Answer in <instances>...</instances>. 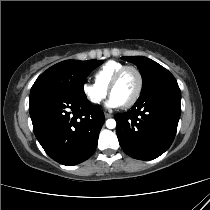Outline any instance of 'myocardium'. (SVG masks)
<instances>
[{
    "label": "myocardium",
    "instance_id": "myocardium-1",
    "mask_svg": "<svg viewBox=\"0 0 210 210\" xmlns=\"http://www.w3.org/2000/svg\"><path fill=\"white\" fill-rule=\"evenodd\" d=\"M128 70H132L137 74V76H138V88H137V91H136L135 95L128 102H126L122 105V107H124V108H129V107L133 106L140 99V97L142 95V92H143V89H144V77H143L142 72L135 66L125 65L116 72V74L114 75V77H113V79L110 82V85L108 87V92L111 95L112 90L119 83L123 74Z\"/></svg>",
    "mask_w": 210,
    "mask_h": 210
}]
</instances>
